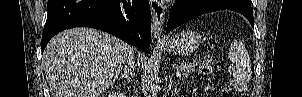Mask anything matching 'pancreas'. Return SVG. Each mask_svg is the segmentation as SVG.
<instances>
[{
    "mask_svg": "<svg viewBox=\"0 0 302 97\" xmlns=\"http://www.w3.org/2000/svg\"><path fill=\"white\" fill-rule=\"evenodd\" d=\"M198 63L196 61L190 62V61H185L182 63H179L177 66V69L182 71L184 75H188L189 73H193L195 71L196 66Z\"/></svg>",
    "mask_w": 302,
    "mask_h": 97,
    "instance_id": "cf45deb5",
    "label": "pancreas"
}]
</instances>
